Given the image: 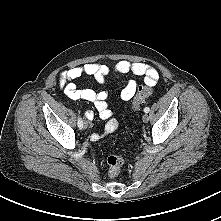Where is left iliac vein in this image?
<instances>
[{
    "instance_id": "left-iliac-vein-1",
    "label": "left iliac vein",
    "mask_w": 221,
    "mask_h": 221,
    "mask_svg": "<svg viewBox=\"0 0 221 221\" xmlns=\"http://www.w3.org/2000/svg\"><path fill=\"white\" fill-rule=\"evenodd\" d=\"M142 120H143V122L147 123L148 120H149L148 114L145 113V114L142 116Z\"/></svg>"
}]
</instances>
